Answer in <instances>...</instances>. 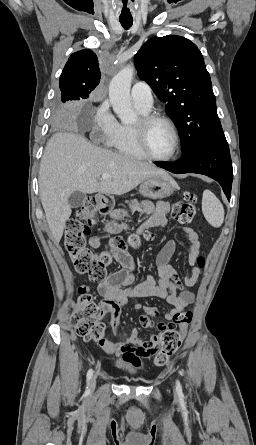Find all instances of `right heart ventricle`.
Segmentation results:
<instances>
[{
    "label": "right heart ventricle",
    "mask_w": 256,
    "mask_h": 445,
    "mask_svg": "<svg viewBox=\"0 0 256 445\" xmlns=\"http://www.w3.org/2000/svg\"><path fill=\"white\" fill-rule=\"evenodd\" d=\"M141 114H148L149 111H144L137 108ZM112 147H114L120 154L131 158L142 159L145 156L142 154L137 146L132 126L128 124H119L118 132L111 142Z\"/></svg>",
    "instance_id": "1"
}]
</instances>
